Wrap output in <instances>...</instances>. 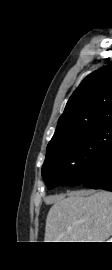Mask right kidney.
<instances>
[{"instance_id":"obj_1","label":"right kidney","mask_w":112,"mask_h":270,"mask_svg":"<svg viewBox=\"0 0 112 270\" xmlns=\"http://www.w3.org/2000/svg\"><path fill=\"white\" fill-rule=\"evenodd\" d=\"M108 242H112V238L110 240H108Z\"/></svg>"}]
</instances>
